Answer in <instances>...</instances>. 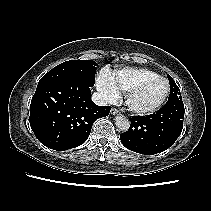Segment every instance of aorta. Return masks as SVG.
Instances as JSON below:
<instances>
[{
  "label": "aorta",
  "instance_id": "762f6f07",
  "mask_svg": "<svg viewBox=\"0 0 211 211\" xmlns=\"http://www.w3.org/2000/svg\"><path fill=\"white\" fill-rule=\"evenodd\" d=\"M115 125L121 131H127L130 127V121L126 116L119 115V116H116L115 118Z\"/></svg>",
  "mask_w": 211,
  "mask_h": 211
}]
</instances>
